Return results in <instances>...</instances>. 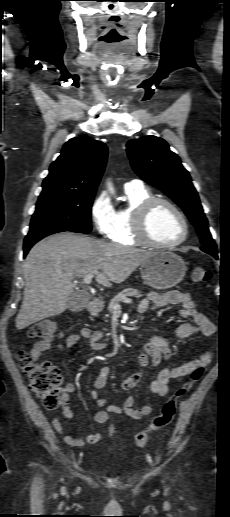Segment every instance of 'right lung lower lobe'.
<instances>
[{
	"mask_svg": "<svg viewBox=\"0 0 230 517\" xmlns=\"http://www.w3.org/2000/svg\"><path fill=\"white\" fill-rule=\"evenodd\" d=\"M63 231H71L69 229H55V230H51V231H47V232H44V233H39V234H33V235H27L25 240H24V257L27 255L28 251L30 250V248L36 243L38 242L39 240H41L42 238L48 236V235H51V234H54V233H58V232H63ZM72 232H75V231H72ZM77 233H82V232H77Z\"/></svg>",
	"mask_w": 230,
	"mask_h": 517,
	"instance_id": "right-lung-lower-lobe-1",
	"label": "right lung lower lobe"
}]
</instances>
